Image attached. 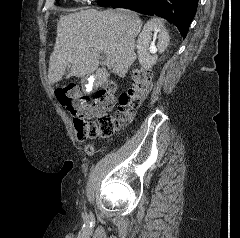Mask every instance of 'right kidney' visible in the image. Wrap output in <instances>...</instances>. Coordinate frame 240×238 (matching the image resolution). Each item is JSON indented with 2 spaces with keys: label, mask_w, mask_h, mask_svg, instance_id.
Listing matches in <instances>:
<instances>
[{
  "label": "right kidney",
  "mask_w": 240,
  "mask_h": 238,
  "mask_svg": "<svg viewBox=\"0 0 240 238\" xmlns=\"http://www.w3.org/2000/svg\"><path fill=\"white\" fill-rule=\"evenodd\" d=\"M158 32V43L157 48L156 47H150L149 43L152 38V32ZM169 34L162 22V20L158 18H153L149 20L142 32L139 34V37L137 39V54L139 63L142 67L145 69H151L154 64H156L158 56L155 54L157 51L159 53H162L166 50L169 44ZM150 52L154 55H150Z\"/></svg>",
  "instance_id": "ca27d5eb"
}]
</instances>
